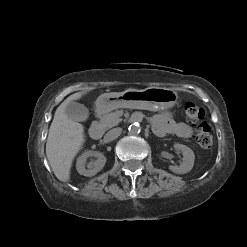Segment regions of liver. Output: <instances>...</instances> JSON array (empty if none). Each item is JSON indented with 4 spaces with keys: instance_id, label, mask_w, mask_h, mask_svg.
<instances>
[{
    "instance_id": "6515ba94",
    "label": "liver",
    "mask_w": 247,
    "mask_h": 247,
    "mask_svg": "<svg viewBox=\"0 0 247 247\" xmlns=\"http://www.w3.org/2000/svg\"><path fill=\"white\" fill-rule=\"evenodd\" d=\"M128 90H136L129 88ZM86 92L70 95L56 109L46 143V156L55 176L62 182L70 179L72 162L84 142V127L65 114V108L73 100L80 99Z\"/></svg>"
}]
</instances>
